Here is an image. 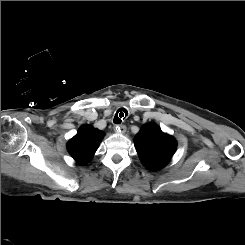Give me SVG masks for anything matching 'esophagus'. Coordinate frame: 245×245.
<instances>
[{
    "instance_id": "34e87169",
    "label": "esophagus",
    "mask_w": 245,
    "mask_h": 245,
    "mask_svg": "<svg viewBox=\"0 0 245 245\" xmlns=\"http://www.w3.org/2000/svg\"><path fill=\"white\" fill-rule=\"evenodd\" d=\"M115 129L117 132L124 134L127 128L125 125H116Z\"/></svg>"
}]
</instances>
